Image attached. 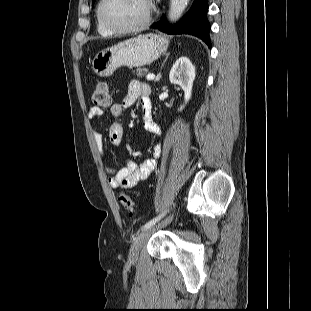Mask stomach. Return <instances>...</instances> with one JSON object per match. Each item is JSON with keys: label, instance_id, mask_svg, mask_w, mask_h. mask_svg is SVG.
<instances>
[{"label": "stomach", "instance_id": "1", "mask_svg": "<svg viewBox=\"0 0 311 311\" xmlns=\"http://www.w3.org/2000/svg\"><path fill=\"white\" fill-rule=\"evenodd\" d=\"M168 45L169 40L163 35H139L99 52L92 61V69L98 76L108 77L122 66L142 67L157 60Z\"/></svg>", "mask_w": 311, "mask_h": 311}]
</instances>
